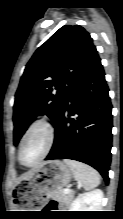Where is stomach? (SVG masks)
Instances as JSON below:
<instances>
[{
	"instance_id": "0dacf381",
	"label": "stomach",
	"mask_w": 123,
	"mask_h": 219,
	"mask_svg": "<svg viewBox=\"0 0 123 219\" xmlns=\"http://www.w3.org/2000/svg\"><path fill=\"white\" fill-rule=\"evenodd\" d=\"M72 170L60 160H50L34 169L30 177L16 188L17 211H37L51 197L69 184Z\"/></svg>"
}]
</instances>
